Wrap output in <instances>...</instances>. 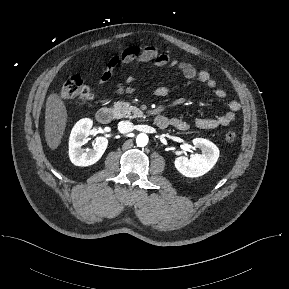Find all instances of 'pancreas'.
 I'll use <instances>...</instances> for the list:
<instances>
[{
  "mask_svg": "<svg viewBox=\"0 0 289 289\" xmlns=\"http://www.w3.org/2000/svg\"><path fill=\"white\" fill-rule=\"evenodd\" d=\"M113 110L115 112L116 117H128V118H137L143 115L142 111L130 105V103L124 101L115 102L113 105Z\"/></svg>",
  "mask_w": 289,
  "mask_h": 289,
  "instance_id": "cf45deb5",
  "label": "pancreas"
}]
</instances>
